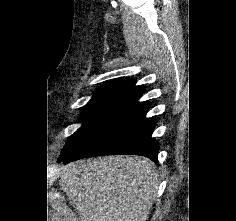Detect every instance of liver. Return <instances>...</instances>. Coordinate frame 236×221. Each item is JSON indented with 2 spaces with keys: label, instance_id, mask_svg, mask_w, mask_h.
I'll list each match as a JSON object with an SVG mask.
<instances>
[{
  "label": "liver",
  "instance_id": "6515ba94",
  "mask_svg": "<svg viewBox=\"0 0 236 221\" xmlns=\"http://www.w3.org/2000/svg\"><path fill=\"white\" fill-rule=\"evenodd\" d=\"M59 185L80 221H146L159 179L147 158L113 156L69 163Z\"/></svg>",
  "mask_w": 236,
  "mask_h": 221
}]
</instances>
